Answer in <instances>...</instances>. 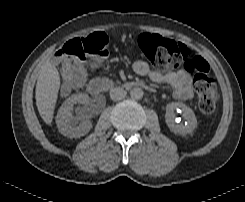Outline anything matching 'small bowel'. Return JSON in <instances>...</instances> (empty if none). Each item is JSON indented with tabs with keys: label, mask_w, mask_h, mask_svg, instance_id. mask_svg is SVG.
Here are the masks:
<instances>
[{
	"label": "small bowel",
	"mask_w": 245,
	"mask_h": 202,
	"mask_svg": "<svg viewBox=\"0 0 245 202\" xmlns=\"http://www.w3.org/2000/svg\"><path fill=\"white\" fill-rule=\"evenodd\" d=\"M134 72L142 77L148 78L154 83H164L172 88L174 98L186 101L193 96L192 79L190 75L184 70H177L162 74L159 71L153 70L145 61H136L133 65ZM81 81L78 86L81 87ZM71 88L66 83H61L60 92L67 95Z\"/></svg>",
	"instance_id": "small-bowel-1"
}]
</instances>
